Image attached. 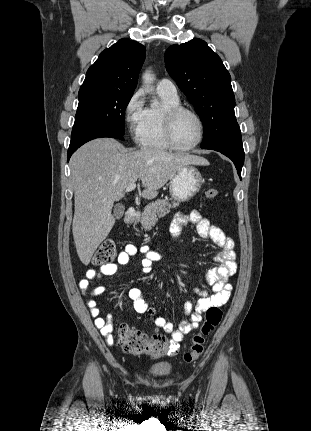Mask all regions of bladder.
<instances>
[{"instance_id":"obj_1","label":"bladder","mask_w":311,"mask_h":431,"mask_svg":"<svg viewBox=\"0 0 311 431\" xmlns=\"http://www.w3.org/2000/svg\"><path fill=\"white\" fill-rule=\"evenodd\" d=\"M148 372L154 377H168L172 374L173 367L169 363H159L150 366Z\"/></svg>"}]
</instances>
